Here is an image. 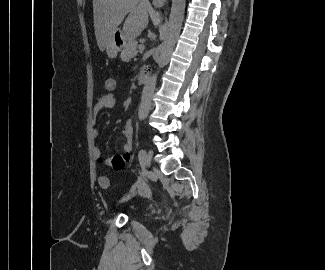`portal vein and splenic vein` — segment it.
<instances>
[{
  "mask_svg": "<svg viewBox=\"0 0 325 270\" xmlns=\"http://www.w3.org/2000/svg\"><path fill=\"white\" fill-rule=\"evenodd\" d=\"M139 50H144L145 46L144 45H139Z\"/></svg>",
  "mask_w": 325,
  "mask_h": 270,
  "instance_id": "obj_1",
  "label": "portal vein and splenic vein"
}]
</instances>
